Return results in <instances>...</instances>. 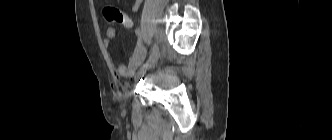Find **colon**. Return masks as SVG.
<instances>
[{"instance_id": "1", "label": "colon", "mask_w": 332, "mask_h": 140, "mask_svg": "<svg viewBox=\"0 0 332 140\" xmlns=\"http://www.w3.org/2000/svg\"><path fill=\"white\" fill-rule=\"evenodd\" d=\"M103 15L108 22L120 25L126 30L133 28L132 19L125 12L116 7L107 6L103 10Z\"/></svg>"}]
</instances>
